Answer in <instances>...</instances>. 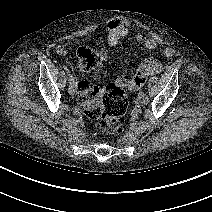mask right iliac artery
<instances>
[{"label":"right iliac artery","mask_w":212,"mask_h":212,"mask_svg":"<svg viewBox=\"0 0 212 212\" xmlns=\"http://www.w3.org/2000/svg\"><path fill=\"white\" fill-rule=\"evenodd\" d=\"M73 82H74V78H73L72 75H70V77H69V83L72 84Z\"/></svg>","instance_id":"obj_1"}]
</instances>
